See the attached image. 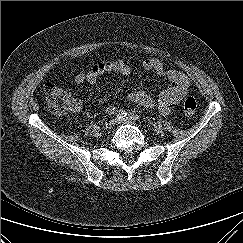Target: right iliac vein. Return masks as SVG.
Masks as SVG:
<instances>
[{
    "label": "right iliac vein",
    "mask_w": 243,
    "mask_h": 243,
    "mask_svg": "<svg viewBox=\"0 0 243 243\" xmlns=\"http://www.w3.org/2000/svg\"><path fill=\"white\" fill-rule=\"evenodd\" d=\"M116 121L115 120H109L105 123L104 128L105 130H111L113 126L115 125Z\"/></svg>",
    "instance_id": "63e3f726"
}]
</instances>
